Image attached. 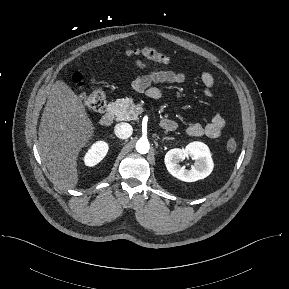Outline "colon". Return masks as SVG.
Here are the masks:
<instances>
[{
	"label": "colon",
	"instance_id": "colon-1",
	"mask_svg": "<svg viewBox=\"0 0 289 289\" xmlns=\"http://www.w3.org/2000/svg\"><path fill=\"white\" fill-rule=\"evenodd\" d=\"M127 54L129 56L142 57L150 62H154L161 65H169L172 62L168 56L148 46L131 49L127 52ZM74 82L80 86L81 77L79 75H75ZM81 99L87 108L96 112H101L106 107L105 93L99 87H95L89 93H82ZM237 146H238L237 141L234 138L228 139L226 143V149L228 152L230 153L235 152L237 150Z\"/></svg>",
	"mask_w": 289,
	"mask_h": 289
}]
</instances>
